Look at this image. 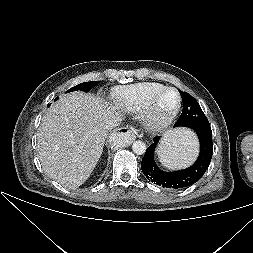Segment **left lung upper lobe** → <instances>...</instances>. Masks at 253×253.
<instances>
[{
    "label": "left lung upper lobe",
    "mask_w": 253,
    "mask_h": 253,
    "mask_svg": "<svg viewBox=\"0 0 253 253\" xmlns=\"http://www.w3.org/2000/svg\"><path fill=\"white\" fill-rule=\"evenodd\" d=\"M179 93L183 101V110L176 124L190 128H195L198 125H209L198 102L186 92L179 90Z\"/></svg>",
    "instance_id": "1"
}]
</instances>
